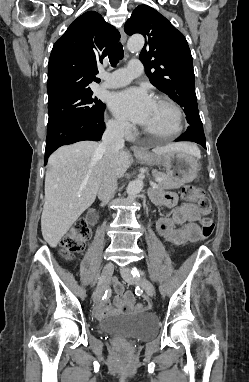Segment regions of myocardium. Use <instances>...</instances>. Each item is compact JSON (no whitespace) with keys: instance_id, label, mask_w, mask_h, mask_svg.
I'll return each instance as SVG.
<instances>
[{"instance_id":"obj_1","label":"myocardium","mask_w":249,"mask_h":382,"mask_svg":"<svg viewBox=\"0 0 249 382\" xmlns=\"http://www.w3.org/2000/svg\"><path fill=\"white\" fill-rule=\"evenodd\" d=\"M156 102L165 104L171 108V110L173 111V113L175 115V129L172 133L164 134V135L154 134V133L146 130L145 128H142V130L146 135H148L152 138H155L158 140H163V141L172 140V139L176 138L181 133V131L183 129L182 111H181L180 107L170 98L160 96L156 99Z\"/></svg>"}]
</instances>
